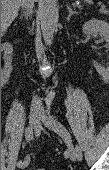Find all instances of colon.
Masks as SVG:
<instances>
[{
	"instance_id": "1",
	"label": "colon",
	"mask_w": 109,
	"mask_h": 170,
	"mask_svg": "<svg viewBox=\"0 0 109 170\" xmlns=\"http://www.w3.org/2000/svg\"><path fill=\"white\" fill-rule=\"evenodd\" d=\"M36 170H46V169H44V168H37Z\"/></svg>"
}]
</instances>
